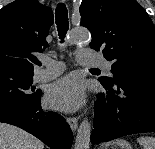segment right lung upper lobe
<instances>
[{"mask_svg":"<svg viewBox=\"0 0 155 149\" xmlns=\"http://www.w3.org/2000/svg\"><path fill=\"white\" fill-rule=\"evenodd\" d=\"M53 24V13L37 0H16L0 10V67L33 73Z\"/></svg>","mask_w":155,"mask_h":149,"instance_id":"1","label":"right lung upper lobe"}]
</instances>
